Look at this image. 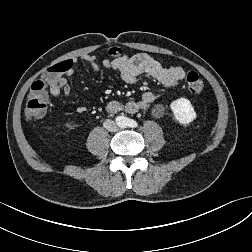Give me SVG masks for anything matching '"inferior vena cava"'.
Returning <instances> with one entry per match:
<instances>
[{"instance_id": "1", "label": "inferior vena cava", "mask_w": 252, "mask_h": 252, "mask_svg": "<svg viewBox=\"0 0 252 252\" xmlns=\"http://www.w3.org/2000/svg\"><path fill=\"white\" fill-rule=\"evenodd\" d=\"M103 126L110 132H116L118 130V126L115 124V122L109 119L105 120Z\"/></svg>"}]
</instances>
